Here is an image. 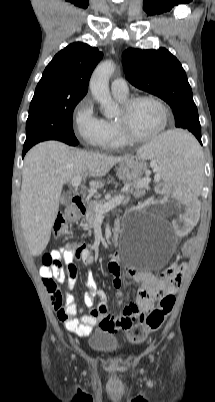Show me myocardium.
<instances>
[{"mask_svg": "<svg viewBox=\"0 0 215 402\" xmlns=\"http://www.w3.org/2000/svg\"><path fill=\"white\" fill-rule=\"evenodd\" d=\"M141 101H151L157 104L160 109L162 110L163 113V123L162 126L154 133L146 136H140L135 134L129 123V115L132 110V108L139 102ZM169 119H170V111L165 104V102L153 95H139V96H134L131 98H128L126 101L123 102L120 114L117 118V123L120 129V132L124 139L129 142V143H141V142H147L156 139L159 137L161 134H163L169 125Z\"/></svg>", "mask_w": 215, "mask_h": 402, "instance_id": "obj_1", "label": "myocardium"}]
</instances>
